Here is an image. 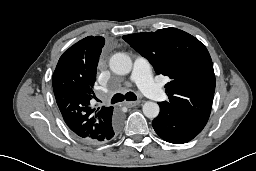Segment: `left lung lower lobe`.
I'll use <instances>...</instances> for the list:
<instances>
[{"instance_id":"0a47b994","label":"left lung lower lobe","mask_w":256,"mask_h":171,"mask_svg":"<svg viewBox=\"0 0 256 171\" xmlns=\"http://www.w3.org/2000/svg\"><path fill=\"white\" fill-rule=\"evenodd\" d=\"M159 106L160 114L153 120L152 125L155 132L167 142L186 143L196 137L206 125L173 106Z\"/></svg>"}]
</instances>
